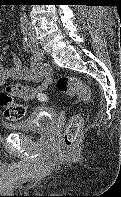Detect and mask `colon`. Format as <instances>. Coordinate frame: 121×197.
Listing matches in <instances>:
<instances>
[{
    "label": "colon",
    "instance_id": "1",
    "mask_svg": "<svg viewBox=\"0 0 121 197\" xmlns=\"http://www.w3.org/2000/svg\"><path fill=\"white\" fill-rule=\"evenodd\" d=\"M56 88L59 92L66 94L71 98L81 95V99L84 104H88L91 100L90 88L75 77H59L56 80ZM32 96L33 91L30 87H25L18 84L7 86L6 90L0 93V106L3 108L5 118L11 121L23 118L26 114V109L22 104L15 102L14 98H31ZM38 98L41 101H46L48 99L47 95L41 92L38 94ZM82 126L83 124L81 118L78 116H73L68 123L63 136V141L66 147L70 148L75 144L82 130Z\"/></svg>",
    "mask_w": 121,
    "mask_h": 197
}]
</instances>
